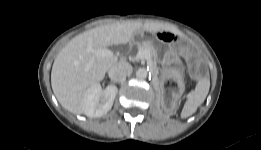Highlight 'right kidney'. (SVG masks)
<instances>
[{
	"label": "right kidney",
	"instance_id": "1",
	"mask_svg": "<svg viewBox=\"0 0 261 150\" xmlns=\"http://www.w3.org/2000/svg\"><path fill=\"white\" fill-rule=\"evenodd\" d=\"M118 89L108 85L102 90L100 84L91 87L85 98L84 114L91 118L105 115L113 106Z\"/></svg>",
	"mask_w": 261,
	"mask_h": 150
}]
</instances>
